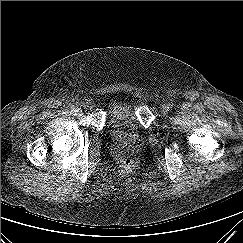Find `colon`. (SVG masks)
<instances>
[{"label": "colon", "instance_id": "1", "mask_svg": "<svg viewBox=\"0 0 243 243\" xmlns=\"http://www.w3.org/2000/svg\"><path fill=\"white\" fill-rule=\"evenodd\" d=\"M122 166L126 169V170H131L134 168V162L132 159L129 158H124L122 160Z\"/></svg>", "mask_w": 243, "mask_h": 243}]
</instances>
